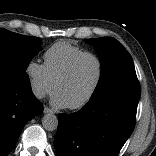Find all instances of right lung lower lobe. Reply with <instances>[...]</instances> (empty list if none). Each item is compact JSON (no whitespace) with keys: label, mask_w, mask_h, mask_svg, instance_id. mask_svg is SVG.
I'll return each mask as SVG.
<instances>
[{"label":"right lung lower lobe","mask_w":156,"mask_h":156,"mask_svg":"<svg viewBox=\"0 0 156 156\" xmlns=\"http://www.w3.org/2000/svg\"><path fill=\"white\" fill-rule=\"evenodd\" d=\"M42 111L29 82L0 77V156L9 154L24 125Z\"/></svg>","instance_id":"1"}]
</instances>
